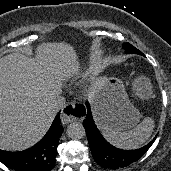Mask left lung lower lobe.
Here are the masks:
<instances>
[{
  "mask_svg": "<svg viewBox=\"0 0 171 171\" xmlns=\"http://www.w3.org/2000/svg\"><path fill=\"white\" fill-rule=\"evenodd\" d=\"M86 119L83 121L90 149L95 161L102 167L115 170L137 161L153 144L156 137L146 146L137 150H121L109 144L97 129L90 110L86 103Z\"/></svg>",
  "mask_w": 171,
  "mask_h": 171,
  "instance_id": "obj_1",
  "label": "left lung lower lobe"
}]
</instances>
